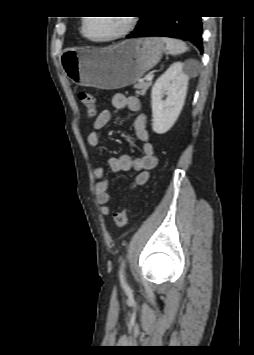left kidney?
Masks as SVG:
<instances>
[{
  "instance_id": "obj_1",
  "label": "left kidney",
  "mask_w": 254,
  "mask_h": 355,
  "mask_svg": "<svg viewBox=\"0 0 254 355\" xmlns=\"http://www.w3.org/2000/svg\"><path fill=\"white\" fill-rule=\"evenodd\" d=\"M188 75L184 63H173L155 82L151 92L152 129L164 134L174 125L184 105ZM164 95H167L163 100Z\"/></svg>"
}]
</instances>
